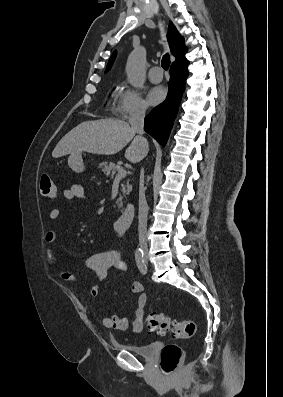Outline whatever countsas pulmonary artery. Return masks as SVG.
Masks as SVG:
<instances>
[{"label": "pulmonary artery", "instance_id": "pulmonary-artery-1", "mask_svg": "<svg viewBox=\"0 0 283 397\" xmlns=\"http://www.w3.org/2000/svg\"><path fill=\"white\" fill-rule=\"evenodd\" d=\"M149 80L153 83H159L162 81L163 74L159 66H154L149 70L148 73Z\"/></svg>", "mask_w": 283, "mask_h": 397}]
</instances>
